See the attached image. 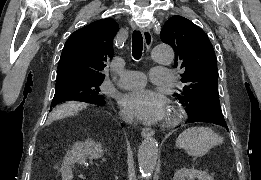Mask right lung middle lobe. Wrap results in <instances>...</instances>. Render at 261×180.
I'll return each mask as SVG.
<instances>
[{
    "mask_svg": "<svg viewBox=\"0 0 261 180\" xmlns=\"http://www.w3.org/2000/svg\"><path fill=\"white\" fill-rule=\"evenodd\" d=\"M103 81L70 80L56 83L55 95L51 107L64 101L74 100L91 104L104 102V96L100 94V85Z\"/></svg>",
    "mask_w": 261,
    "mask_h": 180,
    "instance_id": "obj_1",
    "label": "right lung middle lobe"
}]
</instances>
